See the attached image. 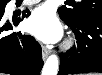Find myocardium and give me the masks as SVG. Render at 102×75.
I'll return each mask as SVG.
<instances>
[{
    "mask_svg": "<svg viewBox=\"0 0 102 75\" xmlns=\"http://www.w3.org/2000/svg\"><path fill=\"white\" fill-rule=\"evenodd\" d=\"M71 44H72V41H71V40H69V41L66 43L65 47H66V48H68V47H70V46H71Z\"/></svg>",
    "mask_w": 102,
    "mask_h": 75,
    "instance_id": "1",
    "label": "myocardium"
}]
</instances>
